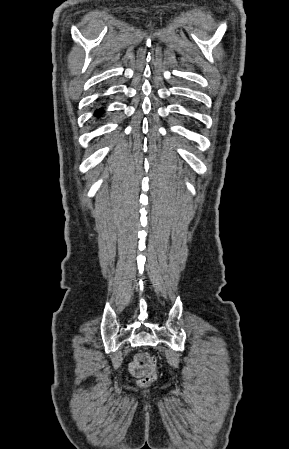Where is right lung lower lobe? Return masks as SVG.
<instances>
[{
    "label": "right lung lower lobe",
    "mask_w": 289,
    "mask_h": 449,
    "mask_svg": "<svg viewBox=\"0 0 289 449\" xmlns=\"http://www.w3.org/2000/svg\"><path fill=\"white\" fill-rule=\"evenodd\" d=\"M102 114H103V111L100 109L95 112V116H97V117L101 116Z\"/></svg>",
    "instance_id": "obj_1"
}]
</instances>
